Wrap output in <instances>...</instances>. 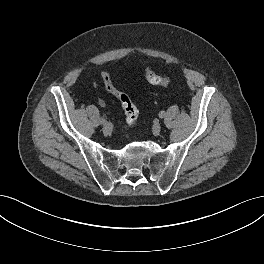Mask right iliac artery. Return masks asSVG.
Listing matches in <instances>:
<instances>
[{
    "instance_id": "1",
    "label": "right iliac artery",
    "mask_w": 264,
    "mask_h": 264,
    "mask_svg": "<svg viewBox=\"0 0 264 264\" xmlns=\"http://www.w3.org/2000/svg\"><path fill=\"white\" fill-rule=\"evenodd\" d=\"M105 122V119L104 118H100V123L103 124Z\"/></svg>"
}]
</instances>
